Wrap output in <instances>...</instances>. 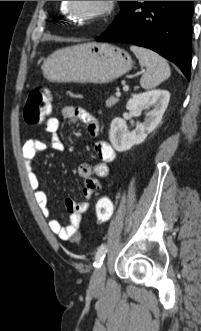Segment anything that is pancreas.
<instances>
[{"mask_svg": "<svg viewBox=\"0 0 201 331\" xmlns=\"http://www.w3.org/2000/svg\"><path fill=\"white\" fill-rule=\"evenodd\" d=\"M119 102V96H110L107 100H106V106L107 107H111L113 105H115L116 103Z\"/></svg>", "mask_w": 201, "mask_h": 331, "instance_id": "1", "label": "pancreas"}]
</instances>
